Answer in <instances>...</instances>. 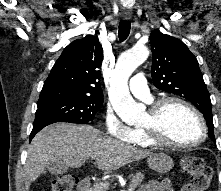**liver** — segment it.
<instances>
[{"label":"liver","mask_w":221,"mask_h":191,"mask_svg":"<svg viewBox=\"0 0 221 191\" xmlns=\"http://www.w3.org/2000/svg\"><path fill=\"white\" fill-rule=\"evenodd\" d=\"M151 154L108 137L92 126L52 124L37 133L28 148L23 175L25 188L28 191L31 183L57 162L77 168L94 157L99 169L113 171Z\"/></svg>","instance_id":"obj_1"}]
</instances>
